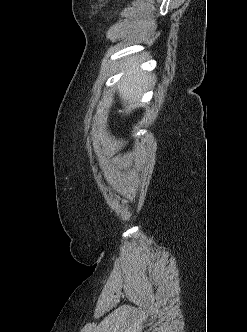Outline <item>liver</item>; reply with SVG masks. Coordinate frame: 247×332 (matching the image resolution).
<instances>
[{"instance_id":"6515ba94","label":"liver","mask_w":247,"mask_h":332,"mask_svg":"<svg viewBox=\"0 0 247 332\" xmlns=\"http://www.w3.org/2000/svg\"><path fill=\"white\" fill-rule=\"evenodd\" d=\"M136 64L128 60L125 71L133 69ZM149 75L141 72H130L118 85L120 97L124 103H134L142 95V87L148 82Z\"/></svg>"}]
</instances>
